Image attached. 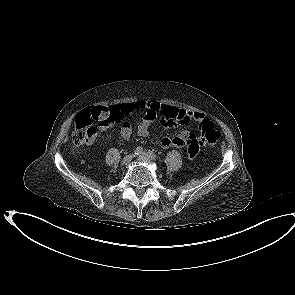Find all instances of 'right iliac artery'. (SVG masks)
I'll return each instance as SVG.
<instances>
[{"mask_svg": "<svg viewBox=\"0 0 295 295\" xmlns=\"http://www.w3.org/2000/svg\"><path fill=\"white\" fill-rule=\"evenodd\" d=\"M141 153H143V148L142 147H137L136 149H135V154L136 155H139V154H141Z\"/></svg>", "mask_w": 295, "mask_h": 295, "instance_id": "right-iliac-artery-1", "label": "right iliac artery"}]
</instances>
